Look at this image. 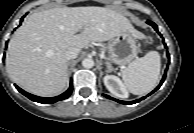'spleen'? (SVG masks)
<instances>
[{
  "mask_svg": "<svg viewBox=\"0 0 194 133\" xmlns=\"http://www.w3.org/2000/svg\"><path fill=\"white\" fill-rule=\"evenodd\" d=\"M161 69L160 55L156 51L137 58L121 71L125 87L135 95H144L152 91L159 79Z\"/></svg>",
  "mask_w": 194,
  "mask_h": 133,
  "instance_id": "1",
  "label": "spleen"
}]
</instances>
